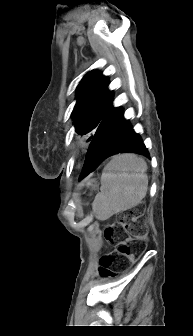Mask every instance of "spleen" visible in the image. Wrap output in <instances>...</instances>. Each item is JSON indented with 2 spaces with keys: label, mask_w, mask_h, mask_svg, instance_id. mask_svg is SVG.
Segmentation results:
<instances>
[{
  "label": "spleen",
  "mask_w": 193,
  "mask_h": 336,
  "mask_svg": "<svg viewBox=\"0 0 193 336\" xmlns=\"http://www.w3.org/2000/svg\"><path fill=\"white\" fill-rule=\"evenodd\" d=\"M146 171V162L135 154L114 156L104 168L100 193L92 204L96 218L104 221L137 206L147 192Z\"/></svg>",
  "instance_id": "obj_1"
}]
</instances>
